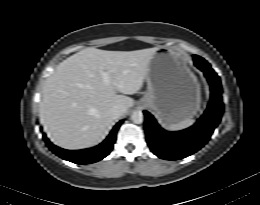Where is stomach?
I'll return each mask as SVG.
<instances>
[{
  "label": "stomach",
  "mask_w": 260,
  "mask_h": 205,
  "mask_svg": "<svg viewBox=\"0 0 260 205\" xmlns=\"http://www.w3.org/2000/svg\"><path fill=\"white\" fill-rule=\"evenodd\" d=\"M146 82L147 92L140 103L164 126L192 118L199 110L200 87L180 52L159 48L149 63Z\"/></svg>",
  "instance_id": "obj_1"
}]
</instances>
